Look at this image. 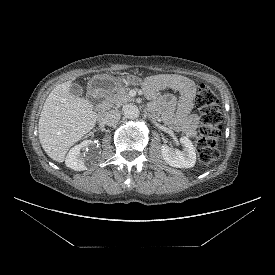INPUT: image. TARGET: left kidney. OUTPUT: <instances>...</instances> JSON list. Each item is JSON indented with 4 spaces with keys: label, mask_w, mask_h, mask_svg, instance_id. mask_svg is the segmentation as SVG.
<instances>
[{
    "label": "left kidney",
    "mask_w": 275,
    "mask_h": 275,
    "mask_svg": "<svg viewBox=\"0 0 275 275\" xmlns=\"http://www.w3.org/2000/svg\"><path fill=\"white\" fill-rule=\"evenodd\" d=\"M180 142L183 145V151L174 150L168 145L161 146L163 159L172 167L191 168L196 162V152L192 142L187 137H181Z\"/></svg>",
    "instance_id": "left-kidney-1"
}]
</instances>
